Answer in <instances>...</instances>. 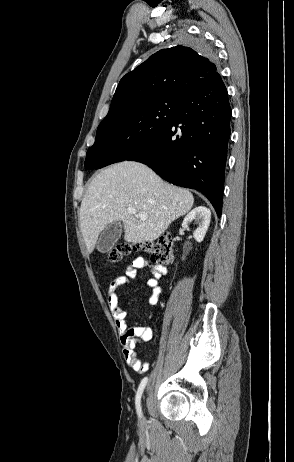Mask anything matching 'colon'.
Returning a JSON list of instances; mask_svg holds the SVG:
<instances>
[{
    "label": "colon",
    "instance_id": "1",
    "mask_svg": "<svg viewBox=\"0 0 294 462\" xmlns=\"http://www.w3.org/2000/svg\"><path fill=\"white\" fill-rule=\"evenodd\" d=\"M132 249L143 250L157 265H170L174 259L172 237L169 234H162L153 241L144 242L134 247L127 243L119 244L109 251L108 261L117 262L123 255L130 253Z\"/></svg>",
    "mask_w": 294,
    "mask_h": 462
}]
</instances>
